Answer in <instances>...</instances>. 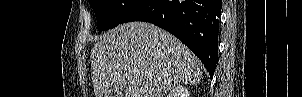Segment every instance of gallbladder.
Wrapping results in <instances>:
<instances>
[{"mask_svg":"<svg viewBox=\"0 0 302 97\" xmlns=\"http://www.w3.org/2000/svg\"><path fill=\"white\" fill-rule=\"evenodd\" d=\"M117 96H121V95H116V94L112 91V92H109V93L107 94L106 97H117Z\"/></svg>","mask_w":302,"mask_h":97,"instance_id":"bac80fb5","label":"gallbladder"}]
</instances>
